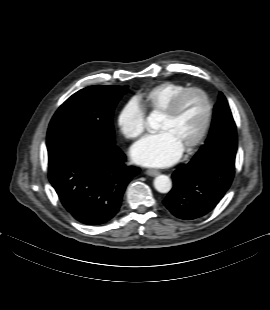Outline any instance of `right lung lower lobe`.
<instances>
[{"instance_id": "obj_1", "label": "right lung lower lobe", "mask_w": 270, "mask_h": 310, "mask_svg": "<svg viewBox=\"0 0 270 310\" xmlns=\"http://www.w3.org/2000/svg\"><path fill=\"white\" fill-rule=\"evenodd\" d=\"M48 176L64 208L80 223L100 225L118 212L139 168L127 166L115 144L91 139H47Z\"/></svg>"}]
</instances>
